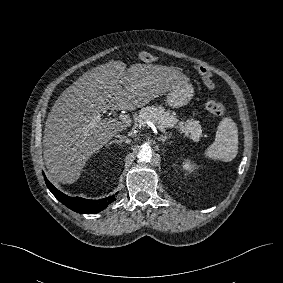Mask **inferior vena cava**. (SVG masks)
<instances>
[{
  "label": "inferior vena cava",
  "instance_id": "obj_1",
  "mask_svg": "<svg viewBox=\"0 0 283 283\" xmlns=\"http://www.w3.org/2000/svg\"><path fill=\"white\" fill-rule=\"evenodd\" d=\"M117 138H119L121 141L125 142V143H130L131 140L126 137V136H122V135H116Z\"/></svg>",
  "mask_w": 283,
  "mask_h": 283
}]
</instances>
